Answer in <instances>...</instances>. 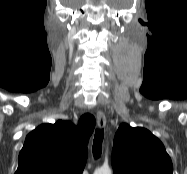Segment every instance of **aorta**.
<instances>
[{
    "label": "aorta",
    "instance_id": "obj_1",
    "mask_svg": "<svg viewBox=\"0 0 187 174\" xmlns=\"http://www.w3.org/2000/svg\"><path fill=\"white\" fill-rule=\"evenodd\" d=\"M94 174H112V171L109 167H101L97 169Z\"/></svg>",
    "mask_w": 187,
    "mask_h": 174
}]
</instances>
